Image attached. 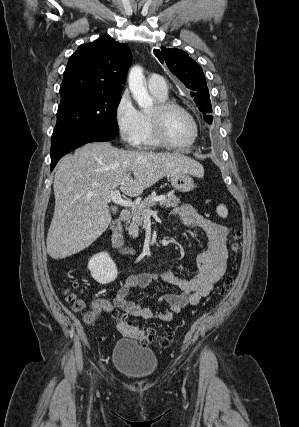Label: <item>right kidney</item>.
Returning <instances> with one entry per match:
<instances>
[{
    "label": "right kidney",
    "mask_w": 299,
    "mask_h": 427,
    "mask_svg": "<svg viewBox=\"0 0 299 427\" xmlns=\"http://www.w3.org/2000/svg\"><path fill=\"white\" fill-rule=\"evenodd\" d=\"M92 277L100 284H108L117 277V267L109 254L101 252L94 255L88 263Z\"/></svg>",
    "instance_id": "right-kidney-1"
}]
</instances>
